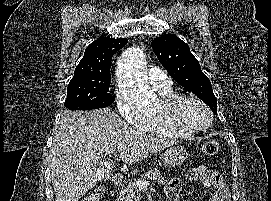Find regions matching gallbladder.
<instances>
[{
	"mask_svg": "<svg viewBox=\"0 0 271 201\" xmlns=\"http://www.w3.org/2000/svg\"><path fill=\"white\" fill-rule=\"evenodd\" d=\"M111 163L105 164L104 162H101L98 165V180L99 181H105L111 177Z\"/></svg>",
	"mask_w": 271,
	"mask_h": 201,
	"instance_id": "bac80fb5",
	"label": "gallbladder"
}]
</instances>
